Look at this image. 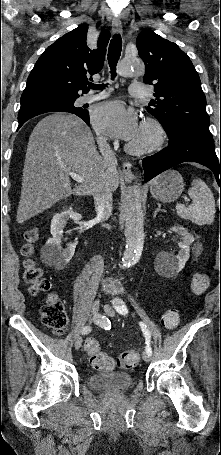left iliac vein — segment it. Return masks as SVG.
<instances>
[{"instance_id": "1", "label": "left iliac vein", "mask_w": 221, "mask_h": 455, "mask_svg": "<svg viewBox=\"0 0 221 455\" xmlns=\"http://www.w3.org/2000/svg\"><path fill=\"white\" fill-rule=\"evenodd\" d=\"M104 311L110 317H113L115 315L113 308L108 304L104 305ZM142 357L145 362L151 361V356L149 354H147L146 352H143Z\"/></svg>"}]
</instances>
